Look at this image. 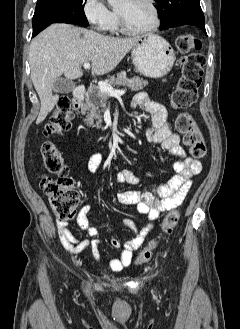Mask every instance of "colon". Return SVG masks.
Masks as SVG:
<instances>
[{"label":"colon","mask_w":240,"mask_h":329,"mask_svg":"<svg viewBox=\"0 0 240 329\" xmlns=\"http://www.w3.org/2000/svg\"><path fill=\"white\" fill-rule=\"evenodd\" d=\"M177 48L183 55L179 60L181 76L170 95V104L176 110H184L193 105L198 98V90L202 83L204 56L197 52L200 49L199 40L190 33L181 34L177 39ZM70 99L61 96L53 109L48 132L61 134L68 130L72 122ZM176 129L183 136L185 145L191 155L196 159H203L207 150L204 138L198 124L192 115L182 112L176 119ZM43 164L45 169L55 177L43 176L41 188L48 198L50 207L59 221L67 222L74 219L76 208L80 202V193L73 187V182L68 177V168L62 156L51 142H45L41 146ZM180 213L177 210L170 211L162 221V230L165 235L171 234L178 224ZM156 247L155 242H150L139 253L136 264L148 262Z\"/></svg>","instance_id":"5ec220e1"}]
</instances>
